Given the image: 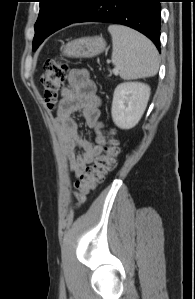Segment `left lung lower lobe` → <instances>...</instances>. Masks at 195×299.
<instances>
[{"mask_svg": "<svg viewBox=\"0 0 195 299\" xmlns=\"http://www.w3.org/2000/svg\"><path fill=\"white\" fill-rule=\"evenodd\" d=\"M162 0H89L74 22H107L131 27L147 36L160 51Z\"/></svg>", "mask_w": 195, "mask_h": 299, "instance_id": "left-lung-lower-lobe-1", "label": "left lung lower lobe"}]
</instances>
